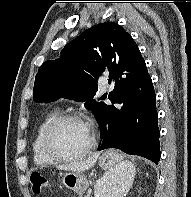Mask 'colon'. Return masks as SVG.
<instances>
[{
    "mask_svg": "<svg viewBox=\"0 0 191 197\" xmlns=\"http://www.w3.org/2000/svg\"><path fill=\"white\" fill-rule=\"evenodd\" d=\"M30 180L35 194L42 193L47 187V178L39 173H32Z\"/></svg>",
    "mask_w": 191,
    "mask_h": 197,
    "instance_id": "obj_1",
    "label": "colon"
}]
</instances>
